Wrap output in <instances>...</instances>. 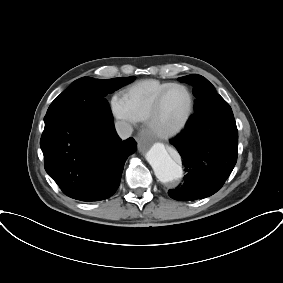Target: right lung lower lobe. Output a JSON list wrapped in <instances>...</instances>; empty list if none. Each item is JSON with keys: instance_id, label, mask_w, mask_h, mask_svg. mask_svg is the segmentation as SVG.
<instances>
[{"instance_id": "98d812e1", "label": "right lung lower lobe", "mask_w": 283, "mask_h": 283, "mask_svg": "<svg viewBox=\"0 0 283 283\" xmlns=\"http://www.w3.org/2000/svg\"><path fill=\"white\" fill-rule=\"evenodd\" d=\"M46 172L62 192L80 201H100L117 190L133 138L122 141L112 113L62 115L45 121L40 140Z\"/></svg>"}]
</instances>
